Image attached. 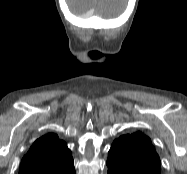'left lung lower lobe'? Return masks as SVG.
<instances>
[{"label":"left lung lower lobe","instance_id":"left-lung-lower-lobe-1","mask_svg":"<svg viewBox=\"0 0 187 174\" xmlns=\"http://www.w3.org/2000/svg\"><path fill=\"white\" fill-rule=\"evenodd\" d=\"M108 174H142L136 171H128L119 168H108Z\"/></svg>","mask_w":187,"mask_h":174}]
</instances>
